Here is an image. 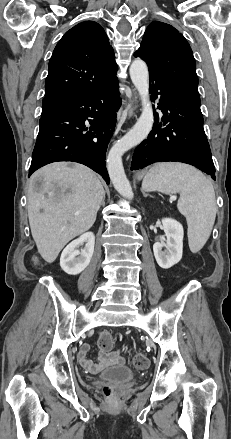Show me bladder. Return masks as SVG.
<instances>
[{
    "instance_id": "31cf9c89",
    "label": "bladder",
    "mask_w": 231,
    "mask_h": 439,
    "mask_svg": "<svg viewBox=\"0 0 231 439\" xmlns=\"http://www.w3.org/2000/svg\"><path fill=\"white\" fill-rule=\"evenodd\" d=\"M101 378L114 382H127L134 378V373L127 366H114L103 371Z\"/></svg>"
}]
</instances>
